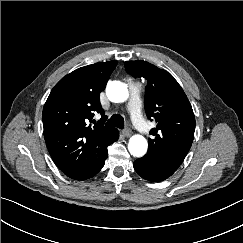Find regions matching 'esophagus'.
I'll return each mask as SVG.
<instances>
[{
	"instance_id": "1",
	"label": "esophagus",
	"mask_w": 243,
	"mask_h": 243,
	"mask_svg": "<svg viewBox=\"0 0 243 243\" xmlns=\"http://www.w3.org/2000/svg\"><path fill=\"white\" fill-rule=\"evenodd\" d=\"M122 134L125 136V137H130L131 134H132V131L130 129H124L122 131Z\"/></svg>"
}]
</instances>
